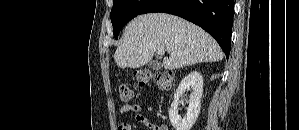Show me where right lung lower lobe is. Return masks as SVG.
Masks as SVG:
<instances>
[{"mask_svg": "<svg viewBox=\"0 0 299 130\" xmlns=\"http://www.w3.org/2000/svg\"><path fill=\"white\" fill-rule=\"evenodd\" d=\"M233 6V0H150L139 14L164 12L187 19L210 33L228 58Z\"/></svg>", "mask_w": 299, "mask_h": 130, "instance_id": "right-lung-lower-lobe-1", "label": "right lung lower lobe"}]
</instances>
